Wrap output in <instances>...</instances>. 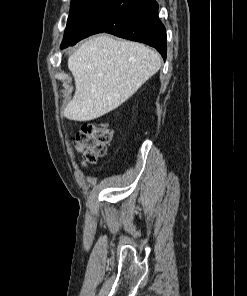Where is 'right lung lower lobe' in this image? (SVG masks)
I'll return each mask as SVG.
<instances>
[{
  "mask_svg": "<svg viewBox=\"0 0 247 296\" xmlns=\"http://www.w3.org/2000/svg\"><path fill=\"white\" fill-rule=\"evenodd\" d=\"M101 32L145 43L166 58V30L155 0H109L89 21L85 37Z\"/></svg>",
  "mask_w": 247,
  "mask_h": 296,
  "instance_id": "obj_1",
  "label": "right lung lower lobe"
}]
</instances>
